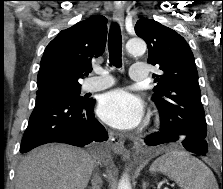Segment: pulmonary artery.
I'll list each match as a JSON object with an SVG mask.
<instances>
[{"instance_id":"obj_1","label":"pulmonary artery","mask_w":223,"mask_h":189,"mask_svg":"<svg viewBox=\"0 0 223 189\" xmlns=\"http://www.w3.org/2000/svg\"><path fill=\"white\" fill-rule=\"evenodd\" d=\"M98 76L89 79L83 86L88 92L104 90L114 84L111 75L103 69L98 70ZM147 70L144 64H132L130 68V79L133 82H143L146 80Z\"/></svg>"}]
</instances>
